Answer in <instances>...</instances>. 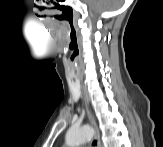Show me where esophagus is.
<instances>
[{
  "instance_id": "34e87169",
  "label": "esophagus",
  "mask_w": 163,
  "mask_h": 147,
  "mask_svg": "<svg viewBox=\"0 0 163 147\" xmlns=\"http://www.w3.org/2000/svg\"><path fill=\"white\" fill-rule=\"evenodd\" d=\"M83 96H84V101L86 103V106L88 107L90 98H89V95H88V93H87V91L85 89H84ZM88 117H89L91 125L94 127V129L96 131L94 137L91 140V145H92V147H100L101 143H100V138H99V134H98L97 125H96L95 119H94V117H93L90 110L88 111Z\"/></svg>"
}]
</instances>
